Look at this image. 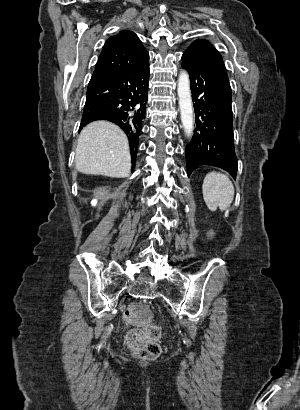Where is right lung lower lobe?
<instances>
[{
    "mask_svg": "<svg viewBox=\"0 0 300 410\" xmlns=\"http://www.w3.org/2000/svg\"><path fill=\"white\" fill-rule=\"evenodd\" d=\"M149 62L127 67L89 82L80 128L95 120L117 124L128 136L131 158L138 150L142 120L145 117ZM136 160L132 158L134 165Z\"/></svg>",
    "mask_w": 300,
    "mask_h": 410,
    "instance_id": "obj_1",
    "label": "right lung lower lobe"
}]
</instances>
